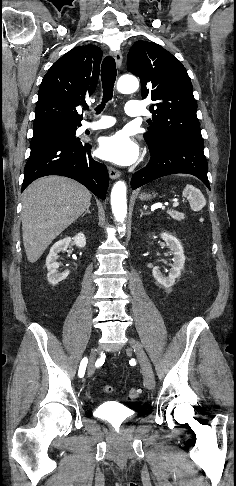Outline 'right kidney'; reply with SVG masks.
Wrapping results in <instances>:
<instances>
[{"mask_svg": "<svg viewBox=\"0 0 236 486\" xmlns=\"http://www.w3.org/2000/svg\"><path fill=\"white\" fill-rule=\"evenodd\" d=\"M72 241L79 248H83L86 245L85 235L83 233H78L73 238L66 237L57 241L50 249L46 258V267L48 270L47 280L51 285H57L69 275V271L58 272L59 263L56 260L58 258V253L66 251Z\"/></svg>", "mask_w": 236, "mask_h": 486, "instance_id": "1", "label": "right kidney"}]
</instances>
